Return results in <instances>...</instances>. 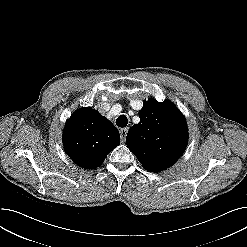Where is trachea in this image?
<instances>
[{
	"mask_svg": "<svg viewBox=\"0 0 247 247\" xmlns=\"http://www.w3.org/2000/svg\"><path fill=\"white\" fill-rule=\"evenodd\" d=\"M128 124V119L125 115H120L117 119H116V125L118 127H126Z\"/></svg>",
	"mask_w": 247,
	"mask_h": 247,
	"instance_id": "3493384b",
	"label": "trachea"
}]
</instances>
